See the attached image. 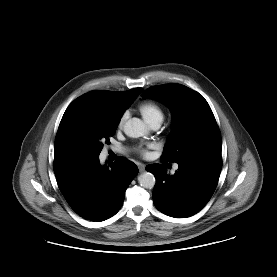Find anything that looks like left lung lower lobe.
I'll use <instances>...</instances> for the list:
<instances>
[{
    "label": "left lung lower lobe",
    "mask_w": 277,
    "mask_h": 277,
    "mask_svg": "<svg viewBox=\"0 0 277 277\" xmlns=\"http://www.w3.org/2000/svg\"><path fill=\"white\" fill-rule=\"evenodd\" d=\"M177 163L179 169L172 176L159 164H150L146 170L156 178L155 207L168 216L185 218L203 209L214 193L222 168L221 152H202Z\"/></svg>",
    "instance_id": "0a47b994"
}]
</instances>
